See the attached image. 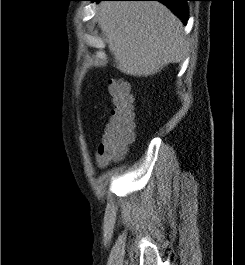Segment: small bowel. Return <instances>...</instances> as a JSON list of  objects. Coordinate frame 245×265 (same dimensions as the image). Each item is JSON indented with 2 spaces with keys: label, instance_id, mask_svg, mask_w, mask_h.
I'll use <instances>...</instances> for the list:
<instances>
[{
  "label": "small bowel",
  "instance_id": "obj_1",
  "mask_svg": "<svg viewBox=\"0 0 245 265\" xmlns=\"http://www.w3.org/2000/svg\"><path fill=\"white\" fill-rule=\"evenodd\" d=\"M97 161H98V163H99L100 165H104V164H106V163L100 161L98 158H97Z\"/></svg>",
  "mask_w": 245,
  "mask_h": 265
}]
</instances>
